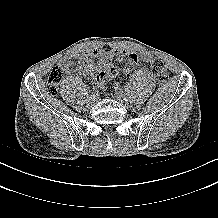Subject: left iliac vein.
I'll return each instance as SVG.
<instances>
[{
	"label": "left iliac vein",
	"mask_w": 218,
	"mask_h": 218,
	"mask_svg": "<svg viewBox=\"0 0 218 218\" xmlns=\"http://www.w3.org/2000/svg\"><path fill=\"white\" fill-rule=\"evenodd\" d=\"M115 97L119 102H121L125 106H128L130 104V99L123 93H120L119 91L116 92Z\"/></svg>",
	"instance_id": "4c4485c4"
}]
</instances>
